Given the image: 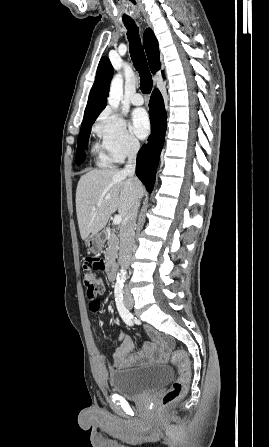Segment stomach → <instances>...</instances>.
<instances>
[{"label":"stomach","mask_w":269,"mask_h":447,"mask_svg":"<svg viewBox=\"0 0 269 447\" xmlns=\"http://www.w3.org/2000/svg\"><path fill=\"white\" fill-rule=\"evenodd\" d=\"M105 243V237L101 231V233H96V235H93V237H90L87 241V245L89 247V251H92V253H99V251H102Z\"/></svg>","instance_id":"stomach-1"}]
</instances>
